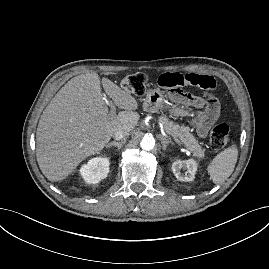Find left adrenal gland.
Segmentation results:
<instances>
[{
  "instance_id": "left-adrenal-gland-1",
  "label": "left adrenal gland",
  "mask_w": 269,
  "mask_h": 269,
  "mask_svg": "<svg viewBox=\"0 0 269 269\" xmlns=\"http://www.w3.org/2000/svg\"><path fill=\"white\" fill-rule=\"evenodd\" d=\"M160 140H161V144H162L163 150H166L168 144H172V145H174V142H172V141L166 139V138L163 137V136L160 137Z\"/></svg>"
}]
</instances>
